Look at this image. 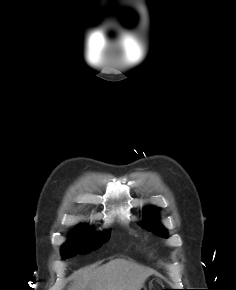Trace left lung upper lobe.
<instances>
[{
    "label": "left lung upper lobe",
    "mask_w": 236,
    "mask_h": 290,
    "mask_svg": "<svg viewBox=\"0 0 236 290\" xmlns=\"http://www.w3.org/2000/svg\"><path fill=\"white\" fill-rule=\"evenodd\" d=\"M156 213L157 212L155 211L154 208L149 207L145 211V214H144L145 218H144V223L142 224V227L147 229L148 231H152L154 234L158 236L167 237V233L164 227H162L160 224H157V222H155L153 219Z\"/></svg>",
    "instance_id": "1"
}]
</instances>
